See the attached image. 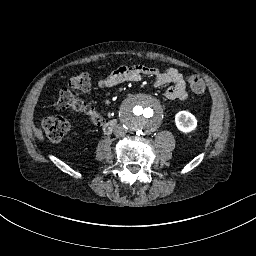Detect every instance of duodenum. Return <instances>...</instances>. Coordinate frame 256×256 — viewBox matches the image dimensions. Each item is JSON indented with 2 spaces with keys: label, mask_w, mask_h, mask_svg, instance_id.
Returning a JSON list of instances; mask_svg holds the SVG:
<instances>
[{
  "label": "duodenum",
  "mask_w": 256,
  "mask_h": 256,
  "mask_svg": "<svg viewBox=\"0 0 256 256\" xmlns=\"http://www.w3.org/2000/svg\"><path fill=\"white\" fill-rule=\"evenodd\" d=\"M118 125L117 119H111L104 123L103 131L105 134H111L113 129Z\"/></svg>",
  "instance_id": "obj_1"
}]
</instances>
